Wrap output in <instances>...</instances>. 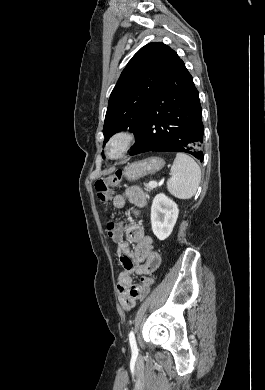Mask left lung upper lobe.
Wrapping results in <instances>:
<instances>
[{
    "label": "left lung upper lobe",
    "mask_w": 265,
    "mask_h": 390,
    "mask_svg": "<svg viewBox=\"0 0 265 390\" xmlns=\"http://www.w3.org/2000/svg\"><path fill=\"white\" fill-rule=\"evenodd\" d=\"M179 60L174 50L160 42L147 44L132 57L109 98L104 144L128 127L137 141L151 101Z\"/></svg>",
    "instance_id": "left-lung-upper-lobe-1"
}]
</instances>
